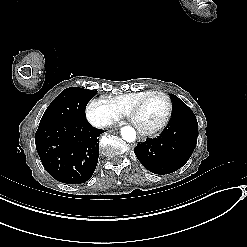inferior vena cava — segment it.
I'll return each mask as SVG.
<instances>
[{"mask_svg":"<svg viewBox=\"0 0 247 247\" xmlns=\"http://www.w3.org/2000/svg\"><path fill=\"white\" fill-rule=\"evenodd\" d=\"M97 123L100 125V127L107 126V122L104 120H99V121H97Z\"/></svg>","mask_w":247,"mask_h":247,"instance_id":"1","label":"inferior vena cava"}]
</instances>
